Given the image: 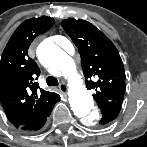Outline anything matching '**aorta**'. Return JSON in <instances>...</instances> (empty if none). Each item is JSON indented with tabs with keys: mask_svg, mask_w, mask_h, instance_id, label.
Here are the masks:
<instances>
[{
	"mask_svg": "<svg viewBox=\"0 0 147 147\" xmlns=\"http://www.w3.org/2000/svg\"><path fill=\"white\" fill-rule=\"evenodd\" d=\"M64 45L73 50L71 42L63 38ZM38 57L43 65L53 71H59L68 79L69 103L74 115L87 125L95 124L100 115L94 106V100L86 88L82 77L77 73L74 60L52 41L41 43Z\"/></svg>",
	"mask_w": 147,
	"mask_h": 147,
	"instance_id": "1",
	"label": "aorta"
}]
</instances>
